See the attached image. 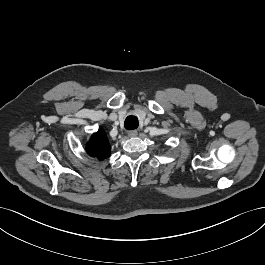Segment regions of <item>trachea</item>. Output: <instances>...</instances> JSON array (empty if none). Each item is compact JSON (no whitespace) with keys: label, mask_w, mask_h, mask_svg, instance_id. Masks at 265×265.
<instances>
[{"label":"trachea","mask_w":265,"mask_h":265,"mask_svg":"<svg viewBox=\"0 0 265 265\" xmlns=\"http://www.w3.org/2000/svg\"><path fill=\"white\" fill-rule=\"evenodd\" d=\"M124 126L127 130H134L138 127V118L136 116H128L125 119Z\"/></svg>","instance_id":"trachea-1"}]
</instances>
